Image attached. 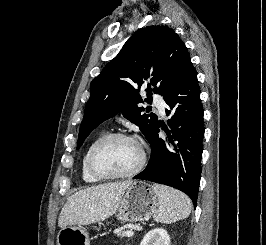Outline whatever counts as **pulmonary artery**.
Instances as JSON below:
<instances>
[{
	"instance_id": "pulmonary-artery-1",
	"label": "pulmonary artery",
	"mask_w": 266,
	"mask_h": 245,
	"mask_svg": "<svg viewBox=\"0 0 266 245\" xmlns=\"http://www.w3.org/2000/svg\"><path fill=\"white\" fill-rule=\"evenodd\" d=\"M156 107L158 108L159 112L161 115L165 114V108H166V104L164 102V100L162 98L156 99L154 101Z\"/></svg>"
}]
</instances>
